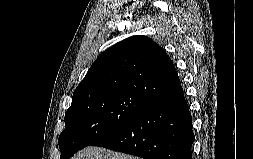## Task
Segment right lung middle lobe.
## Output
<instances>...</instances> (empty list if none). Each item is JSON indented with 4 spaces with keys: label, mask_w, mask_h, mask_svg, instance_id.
I'll list each match as a JSON object with an SVG mask.
<instances>
[{
    "label": "right lung middle lobe",
    "mask_w": 253,
    "mask_h": 159,
    "mask_svg": "<svg viewBox=\"0 0 253 159\" xmlns=\"http://www.w3.org/2000/svg\"><path fill=\"white\" fill-rule=\"evenodd\" d=\"M152 104L130 94L72 101L65 113V129L58 139L60 159H70L75 152L114 132Z\"/></svg>",
    "instance_id": "1"
}]
</instances>
